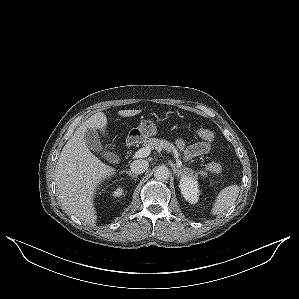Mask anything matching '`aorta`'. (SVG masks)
Returning a JSON list of instances; mask_svg holds the SVG:
<instances>
[{
  "label": "aorta",
  "instance_id": "obj_1",
  "mask_svg": "<svg viewBox=\"0 0 299 299\" xmlns=\"http://www.w3.org/2000/svg\"><path fill=\"white\" fill-rule=\"evenodd\" d=\"M170 172L166 166H158L154 171V177L158 181L168 180Z\"/></svg>",
  "mask_w": 299,
  "mask_h": 299
}]
</instances>
